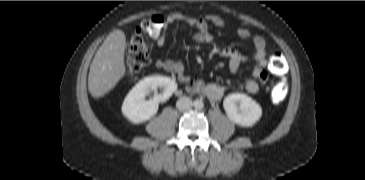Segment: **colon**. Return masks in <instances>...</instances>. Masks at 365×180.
Here are the masks:
<instances>
[{
	"mask_svg": "<svg viewBox=\"0 0 365 180\" xmlns=\"http://www.w3.org/2000/svg\"><path fill=\"white\" fill-rule=\"evenodd\" d=\"M165 20L160 15H155L142 22L137 31L129 40L126 56L125 68L128 74L141 72L149 62L148 46L144 39L145 36L155 38L163 31ZM268 67L272 74L283 76L286 71V62L280 52H273L268 61ZM286 93V85L279 82L272 91V97L280 103Z\"/></svg>",
	"mask_w": 365,
	"mask_h": 180,
	"instance_id": "colon-1",
	"label": "colon"
}]
</instances>
